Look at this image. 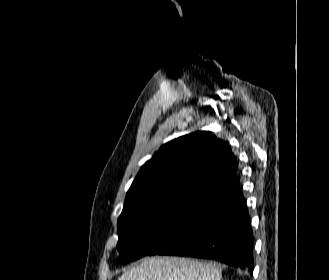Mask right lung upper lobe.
Instances as JSON below:
<instances>
[{
  "label": "right lung upper lobe",
  "mask_w": 329,
  "mask_h": 280,
  "mask_svg": "<svg viewBox=\"0 0 329 280\" xmlns=\"http://www.w3.org/2000/svg\"><path fill=\"white\" fill-rule=\"evenodd\" d=\"M235 175L236 160L229 145L211 132L197 131L163 145L141 167L125 205L138 207L176 195L205 198Z\"/></svg>",
  "instance_id": "right-lung-upper-lobe-1"
}]
</instances>
